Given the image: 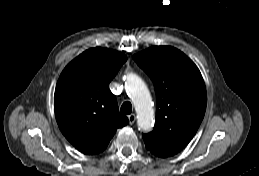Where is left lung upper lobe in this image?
<instances>
[{
    "label": "left lung upper lobe",
    "mask_w": 259,
    "mask_h": 176,
    "mask_svg": "<svg viewBox=\"0 0 259 176\" xmlns=\"http://www.w3.org/2000/svg\"><path fill=\"white\" fill-rule=\"evenodd\" d=\"M151 77L157 96L156 122L143 135L146 148L157 157L180 152L198 130L206 110L202 75L180 50L154 46L133 56Z\"/></svg>",
    "instance_id": "obj_1"
}]
</instances>
